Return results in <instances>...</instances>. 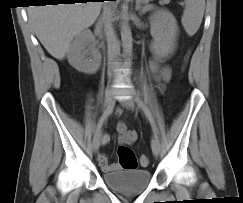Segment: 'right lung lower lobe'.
<instances>
[{"label": "right lung lower lobe", "mask_w": 243, "mask_h": 203, "mask_svg": "<svg viewBox=\"0 0 243 203\" xmlns=\"http://www.w3.org/2000/svg\"><path fill=\"white\" fill-rule=\"evenodd\" d=\"M64 1H67L65 3H73V2H71V0H64ZM98 1H104V0H98ZM111 1H116V0H111Z\"/></svg>", "instance_id": "98d812e1"}]
</instances>
